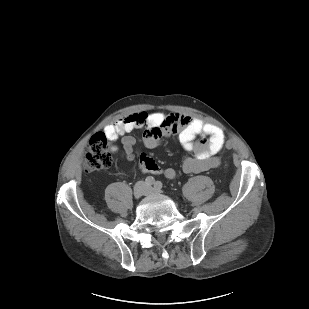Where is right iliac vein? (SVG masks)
I'll return each mask as SVG.
<instances>
[{"label": "right iliac vein", "instance_id": "right-iliac-vein-1", "mask_svg": "<svg viewBox=\"0 0 309 309\" xmlns=\"http://www.w3.org/2000/svg\"><path fill=\"white\" fill-rule=\"evenodd\" d=\"M146 192L145 185L143 183H138L134 188V197L139 199L141 196L146 194Z\"/></svg>", "mask_w": 309, "mask_h": 309}]
</instances>
